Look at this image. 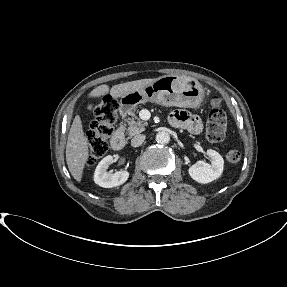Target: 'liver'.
Listing matches in <instances>:
<instances>
[{"instance_id": "6515ba94", "label": "liver", "mask_w": 287, "mask_h": 287, "mask_svg": "<svg viewBox=\"0 0 287 287\" xmlns=\"http://www.w3.org/2000/svg\"><path fill=\"white\" fill-rule=\"evenodd\" d=\"M156 79L157 78L130 81L114 85L111 89H109L108 85L103 84L93 89L88 94V97H100L109 93L112 97L119 98L124 94L143 89L145 86L153 83ZM88 154V141L84 135L81 118L77 115L73 120L68 135L66 162L71 175L78 182L82 179L83 170L88 160Z\"/></svg>"}]
</instances>
